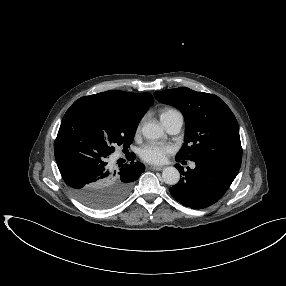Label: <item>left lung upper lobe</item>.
<instances>
[{
	"mask_svg": "<svg viewBox=\"0 0 286 286\" xmlns=\"http://www.w3.org/2000/svg\"><path fill=\"white\" fill-rule=\"evenodd\" d=\"M164 104L179 109L185 118V142L177 159L215 160L240 168L242 147L237 120L218 96L186 87L154 93Z\"/></svg>",
	"mask_w": 286,
	"mask_h": 286,
	"instance_id": "5c2ea615",
	"label": "left lung upper lobe"
}]
</instances>
